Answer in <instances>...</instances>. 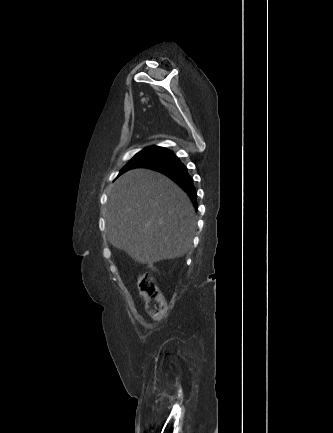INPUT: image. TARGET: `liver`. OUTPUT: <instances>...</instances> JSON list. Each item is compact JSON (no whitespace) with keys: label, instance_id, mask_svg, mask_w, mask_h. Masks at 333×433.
<instances>
[{"label":"liver","instance_id":"obj_1","mask_svg":"<svg viewBox=\"0 0 333 433\" xmlns=\"http://www.w3.org/2000/svg\"><path fill=\"white\" fill-rule=\"evenodd\" d=\"M105 214L110 243L141 264L182 257L195 228L187 194L161 173L133 169L108 193Z\"/></svg>","mask_w":333,"mask_h":433}]
</instances>
